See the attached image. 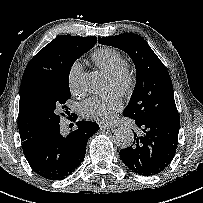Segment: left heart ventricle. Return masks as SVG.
Instances as JSON below:
<instances>
[{
	"label": "left heart ventricle",
	"mask_w": 203,
	"mask_h": 203,
	"mask_svg": "<svg viewBox=\"0 0 203 203\" xmlns=\"http://www.w3.org/2000/svg\"><path fill=\"white\" fill-rule=\"evenodd\" d=\"M114 84H115L116 86H120V85L122 84V80L116 79V80L114 81Z\"/></svg>",
	"instance_id": "left-heart-ventricle-1"
}]
</instances>
